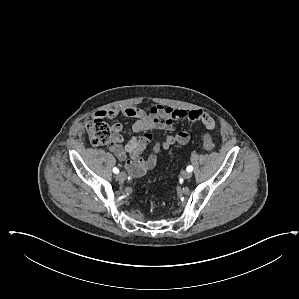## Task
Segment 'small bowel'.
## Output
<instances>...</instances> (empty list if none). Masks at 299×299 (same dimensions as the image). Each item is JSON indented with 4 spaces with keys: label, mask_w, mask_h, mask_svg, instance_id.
<instances>
[{
    "label": "small bowel",
    "mask_w": 299,
    "mask_h": 299,
    "mask_svg": "<svg viewBox=\"0 0 299 299\" xmlns=\"http://www.w3.org/2000/svg\"><path fill=\"white\" fill-rule=\"evenodd\" d=\"M97 117L114 119L118 115H123L134 119L133 131L138 136L132 137L125 145H122L123 137L121 132L123 125L115 123L113 125V142L111 151L123 161L126 170L134 177L145 175L154 168L159 153L167 150L175 144H186L190 139L189 131L180 130L171 134L174 130L175 122L178 120H188L191 123L201 122L208 130H214L215 121L205 110H186L180 108L164 107L153 105L148 111L136 107H125L121 109H108L96 111ZM153 131L167 132L153 146L152 153L147 159H143L141 154L146 146L153 140Z\"/></svg>",
    "instance_id": "c3829d8e"
}]
</instances>
